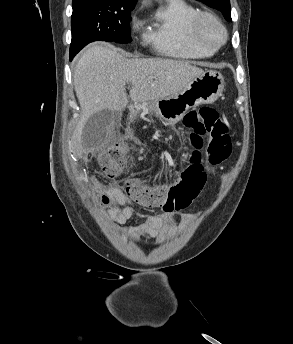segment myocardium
<instances>
[{
  "label": "myocardium",
  "instance_id": "f54148a6",
  "mask_svg": "<svg viewBox=\"0 0 293 344\" xmlns=\"http://www.w3.org/2000/svg\"><path fill=\"white\" fill-rule=\"evenodd\" d=\"M208 24L215 26L220 32V38L215 43H209L204 35V27ZM191 34L194 41L205 49L217 51L227 41L228 33L222 21L213 13L200 12L192 22Z\"/></svg>",
  "mask_w": 293,
  "mask_h": 344
}]
</instances>
